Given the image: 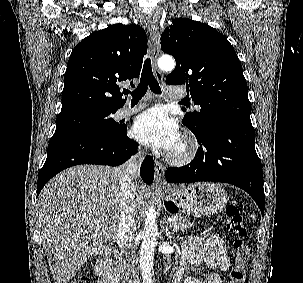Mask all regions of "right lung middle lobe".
Instances as JSON below:
<instances>
[{
	"mask_svg": "<svg viewBox=\"0 0 303 283\" xmlns=\"http://www.w3.org/2000/svg\"><path fill=\"white\" fill-rule=\"evenodd\" d=\"M115 111H83L74 114L58 116L54 135L82 132L91 135H116L126 129L123 124L116 123L111 115Z\"/></svg>",
	"mask_w": 303,
	"mask_h": 283,
	"instance_id": "dd1d6c3e",
	"label": "right lung middle lobe"
}]
</instances>
